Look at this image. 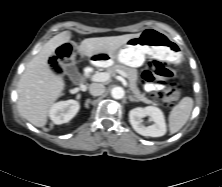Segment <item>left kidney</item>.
Segmentation results:
<instances>
[{
	"label": "left kidney",
	"instance_id": "obj_1",
	"mask_svg": "<svg viewBox=\"0 0 222 187\" xmlns=\"http://www.w3.org/2000/svg\"><path fill=\"white\" fill-rule=\"evenodd\" d=\"M148 116L154 124L145 126L142 118ZM129 121L133 129L142 136L161 137L166 134L163 112L154 106L137 107L129 112Z\"/></svg>",
	"mask_w": 222,
	"mask_h": 187
}]
</instances>
